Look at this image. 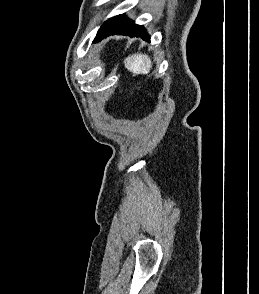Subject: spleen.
Segmentation results:
<instances>
[{
	"label": "spleen",
	"mask_w": 259,
	"mask_h": 294,
	"mask_svg": "<svg viewBox=\"0 0 259 294\" xmlns=\"http://www.w3.org/2000/svg\"><path fill=\"white\" fill-rule=\"evenodd\" d=\"M125 68L133 74H148L152 68L148 55L134 54L124 60Z\"/></svg>",
	"instance_id": "3e777b00"
}]
</instances>
